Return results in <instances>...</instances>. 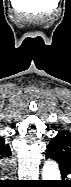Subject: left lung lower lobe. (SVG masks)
Here are the masks:
<instances>
[{
	"label": "left lung lower lobe",
	"instance_id": "0a47b994",
	"mask_svg": "<svg viewBox=\"0 0 71 187\" xmlns=\"http://www.w3.org/2000/svg\"><path fill=\"white\" fill-rule=\"evenodd\" d=\"M46 159H54V160L59 164L60 171H61V174H62V178H63V179H66L67 176L71 175V166L65 164V162L62 161V160L57 156V154L52 153V152H50V151H47V152H46Z\"/></svg>",
	"mask_w": 71,
	"mask_h": 187
}]
</instances>
